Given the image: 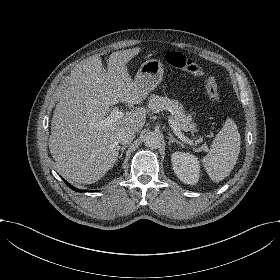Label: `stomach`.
I'll return each instance as SVG.
<instances>
[{
    "label": "stomach",
    "instance_id": "0dacf381",
    "mask_svg": "<svg viewBox=\"0 0 280 280\" xmlns=\"http://www.w3.org/2000/svg\"><path fill=\"white\" fill-rule=\"evenodd\" d=\"M162 76V64L157 60H148L137 71L133 85L141 88L147 95L160 84Z\"/></svg>",
    "mask_w": 280,
    "mask_h": 280
}]
</instances>
